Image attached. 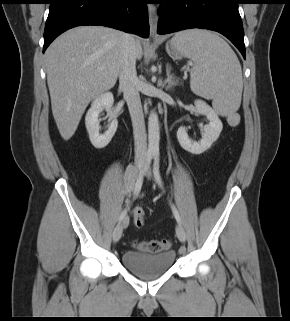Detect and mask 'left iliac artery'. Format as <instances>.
I'll return each mask as SVG.
<instances>
[{"label":"left iliac artery","instance_id":"left-iliac-artery-1","mask_svg":"<svg viewBox=\"0 0 290 321\" xmlns=\"http://www.w3.org/2000/svg\"><path fill=\"white\" fill-rule=\"evenodd\" d=\"M153 173H154V177H155L156 182L158 183L160 188L163 189V182H162L160 170H159V152L154 153ZM171 208H172L173 214H174L177 222L179 224H181L182 223L181 218H180L179 212L177 211L176 207L171 204Z\"/></svg>","mask_w":290,"mask_h":321}]
</instances>
